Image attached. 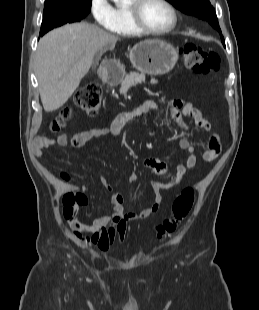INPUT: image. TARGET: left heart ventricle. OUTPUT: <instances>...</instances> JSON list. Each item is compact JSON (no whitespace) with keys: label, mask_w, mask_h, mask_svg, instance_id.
I'll list each match as a JSON object with an SVG mask.
<instances>
[{"label":"left heart ventricle","mask_w":259,"mask_h":310,"mask_svg":"<svg viewBox=\"0 0 259 310\" xmlns=\"http://www.w3.org/2000/svg\"><path fill=\"white\" fill-rule=\"evenodd\" d=\"M142 20L148 27L162 30L172 23V14L159 0H148L142 9Z\"/></svg>","instance_id":"obj_1"}]
</instances>
